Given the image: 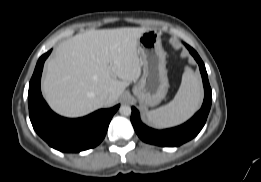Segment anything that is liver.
Wrapping results in <instances>:
<instances>
[{"label":"liver","mask_w":261,"mask_h":182,"mask_svg":"<svg viewBox=\"0 0 261 182\" xmlns=\"http://www.w3.org/2000/svg\"><path fill=\"white\" fill-rule=\"evenodd\" d=\"M146 30H89L62 42L47 61L42 82L51 108L67 117H79L114 105L141 75L137 44Z\"/></svg>","instance_id":"obj_1"}]
</instances>
